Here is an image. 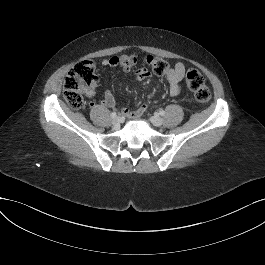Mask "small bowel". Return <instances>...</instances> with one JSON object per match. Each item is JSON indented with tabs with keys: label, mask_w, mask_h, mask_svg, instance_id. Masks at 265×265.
<instances>
[{
	"label": "small bowel",
	"mask_w": 265,
	"mask_h": 265,
	"mask_svg": "<svg viewBox=\"0 0 265 265\" xmlns=\"http://www.w3.org/2000/svg\"><path fill=\"white\" fill-rule=\"evenodd\" d=\"M103 66L106 67H117L114 64L112 58L106 59L102 62ZM186 72L185 65L181 62L175 64L169 74L166 76V80L169 84V94L171 97H178L182 92V80L184 78ZM150 72L146 67H141L135 71V78L137 81H142L150 77ZM87 97H93L96 94L95 88H89L84 91ZM101 105L113 108L116 105V99L113 93L110 90H106L104 92V96L102 101L100 102ZM95 103L91 102L90 106H94ZM147 109V104H141L137 109L130 110V109H122V115L129 117V118H138L142 116Z\"/></svg>",
	"instance_id": "c3829d8e"
}]
</instances>
